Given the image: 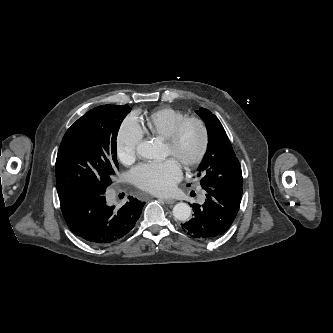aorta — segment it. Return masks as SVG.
<instances>
[{
	"mask_svg": "<svg viewBox=\"0 0 333 333\" xmlns=\"http://www.w3.org/2000/svg\"><path fill=\"white\" fill-rule=\"evenodd\" d=\"M137 154L143 158L154 159L158 148L153 141H143L137 146ZM173 216L180 221H186L191 216V207L187 203H177L173 208Z\"/></svg>",
	"mask_w": 333,
	"mask_h": 333,
	"instance_id": "aorta-1",
	"label": "aorta"
}]
</instances>
